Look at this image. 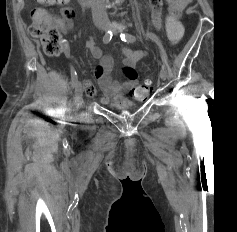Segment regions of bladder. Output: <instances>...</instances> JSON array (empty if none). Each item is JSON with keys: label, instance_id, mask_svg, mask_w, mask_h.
<instances>
[{"label": "bladder", "instance_id": "1", "mask_svg": "<svg viewBox=\"0 0 237 232\" xmlns=\"http://www.w3.org/2000/svg\"><path fill=\"white\" fill-rule=\"evenodd\" d=\"M132 105H133L132 103H123V104L113 103L111 104V107L115 109H125L131 107Z\"/></svg>", "mask_w": 237, "mask_h": 232}]
</instances>
